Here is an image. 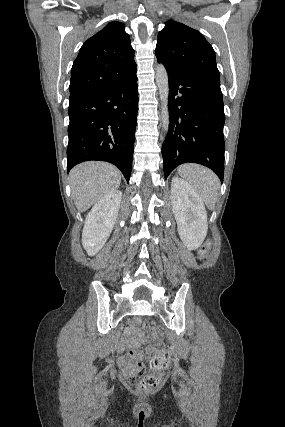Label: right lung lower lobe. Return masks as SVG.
Returning a JSON list of instances; mask_svg holds the SVG:
<instances>
[{
  "label": "right lung lower lobe",
  "mask_w": 285,
  "mask_h": 427,
  "mask_svg": "<svg viewBox=\"0 0 285 427\" xmlns=\"http://www.w3.org/2000/svg\"><path fill=\"white\" fill-rule=\"evenodd\" d=\"M137 76L69 100L67 169L90 160L116 165L129 182L137 124Z\"/></svg>",
  "instance_id": "1"
}]
</instances>
